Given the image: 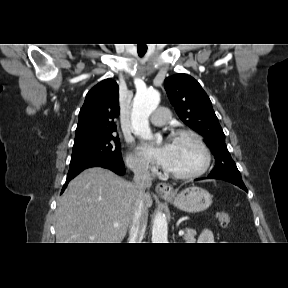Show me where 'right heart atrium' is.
I'll use <instances>...</instances> for the list:
<instances>
[{
	"label": "right heart atrium",
	"instance_id": "obj_1",
	"mask_svg": "<svg viewBox=\"0 0 288 288\" xmlns=\"http://www.w3.org/2000/svg\"><path fill=\"white\" fill-rule=\"evenodd\" d=\"M126 162L131 170L139 174H148L151 170L149 161L136 153H129Z\"/></svg>",
	"mask_w": 288,
	"mask_h": 288
}]
</instances>
